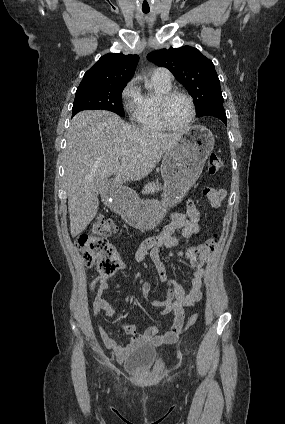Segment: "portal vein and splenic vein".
<instances>
[{
	"mask_svg": "<svg viewBox=\"0 0 285 424\" xmlns=\"http://www.w3.org/2000/svg\"><path fill=\"white\" fill-rule=\"evenodd\" d=\"M121 156H125V155H127V152H122L121 154H120Z\"/></svg>",
	"mask_w": 285,
	"mask_h": 424,
	"instance_id": "18ae733b",
	"label": "portal vein and splenic vein"
}]
</instances>
